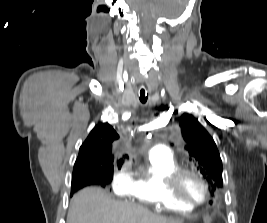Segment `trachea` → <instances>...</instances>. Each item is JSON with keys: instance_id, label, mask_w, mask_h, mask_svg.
I'll list each match as a JSON object with an SVG mask.
<instances>
[{"instance_id": "trachea-1", "label": "trachea", "mask_w": 267, "mask_h": 223, "mask_svg": "<svg viewBox=\"0 0 267 223\" xmlns=\"http://www.w3.org/2000/svg\"><path fill=\"white\" fill-rule=\"evenodd\" d=\"M139 100L141 103H146L148 99V93H146V87L141 85L138 92Z\"/></svg>"}]
</instances>
